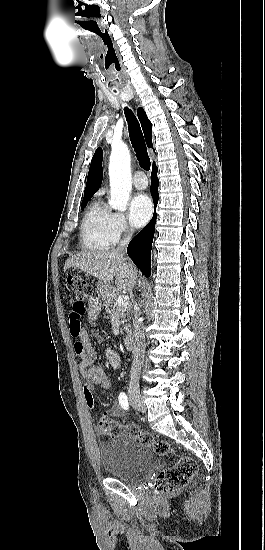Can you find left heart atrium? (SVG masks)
Segmentation results:
<instances>
[{
    "label": "left heart atrium",
    "instance_id": "39dd6f15",
    "mask_svg": "<svg viewBox=\"0 0 265 550\" xmlns=\"http://www.w3.org/2000/svg\"><path fill=\"white\" fill-rule=\"evenodd\" d=\"M153 207L150 198L143 193L136 194L130 201L129 219L133 226L142 227L150 219Z\"/></svg>",
    "mask_w": 265,
    "mask_h": 550
}]
</instances>
